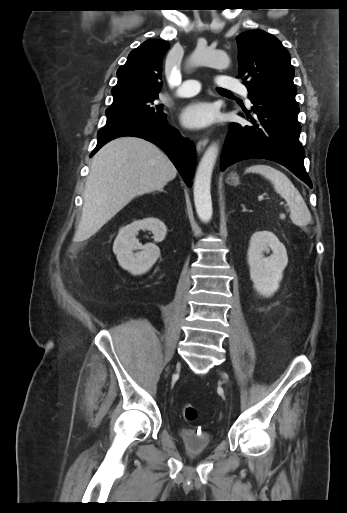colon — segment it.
Instances as JSON below:
<instances>
[{
  "label": "colon",
  "mask_w": 347,
  "mask_h": 513,
  "mask_svg": "<svg viewBox=\"0 0 347 513\" xmlns=\"http://www.w3.org/2000/svg\"><path fill=\"white\" fill-rule=\"evenodd\" d=\"M181 413L183 418L189 422L194 421L198 416L196 407L190 403H184L181 406Z\"/></svg>",
  "instance_id": "colon-1"
}]
</instances>
